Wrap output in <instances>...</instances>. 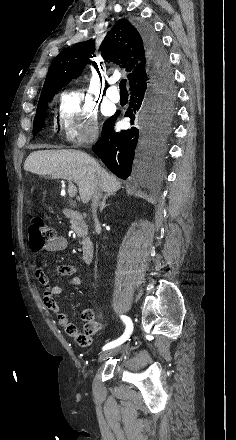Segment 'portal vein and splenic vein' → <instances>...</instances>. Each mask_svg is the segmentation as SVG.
Masks as SVG:
<instances>
[{
	"label": "portal vein and splenic vein",
	"mask_w": 236,
	"mask_h": 440,
	"mask_svg": "<svg viewBox=\"0 0 236 440\" xmlns=\"http://www.w3.org/2000/svg\"><path fill=\"white\" fill-rule=\"evenodd\" d=\"M69 186H68V194L69 197L73 198L76 195L77 188L74 186V184L71 182V179H69Z\"/></svg>",
	"instance_id": "18ae733b"
}]
</instances>
